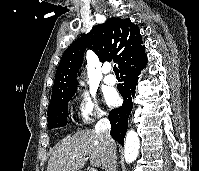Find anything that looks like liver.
Returning <instances> with one entry per match:
<instances>
[{
    "instance_id": "6515ba94",
    "label": "liver",
    "mask_w": 199,
    "mask_h": 171,
    "mask_svg": "<svg viewBox=\"0 0 199 171\" xmlns=\"http://www.w3.org/2000/svg\"><path fill=\"white\" fill-rule=\"evenodd\" d=\"M107 154V146L96 131L79 130L55 147L47 171H79L85 165L87 156L92 166L103 167Z\"/></svg>"
}]
</instances>
